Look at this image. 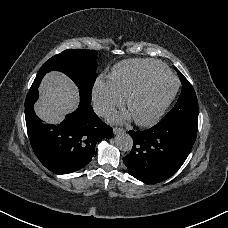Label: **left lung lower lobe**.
<instances>
[{"mask_svg":"<svg viewBox=\"0 0 228 228\" xmlns=\"http://www.w3.org/2000/svg\"><path fill=\"white\" fill-rule=\"evenodd\" d=\"M131 152L124 157L130 174L145 183H159L174 175L185 162L196 139L193 125H160L129 131Z\"/></svg>","mask_w":228,"mask_h":228,"instance_id":"0a47b994","label":"left lung lower lobe"}]
</instances>
